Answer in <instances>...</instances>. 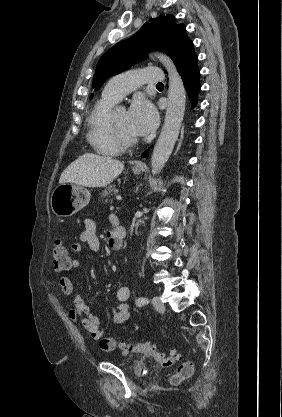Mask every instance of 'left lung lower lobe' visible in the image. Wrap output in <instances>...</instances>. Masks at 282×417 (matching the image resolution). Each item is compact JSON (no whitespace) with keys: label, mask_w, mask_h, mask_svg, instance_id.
Wrapping results in <instances>:
<instances>
[{"label":"left lung lower lobe","mask_w":282,"mask_h":417,"mask_svg":"<svg viewBox=\"0 0 282 417\" xmlns=\"http://www.w3.org/2000/svg\"><path fill=\"white\" fill-rule=\"evenodd\" d=\"M198 57L194 51L192 41L184 48L178 51L173 61L177 66L178 72L182 76L184 86L188 92L192 107L197 104V93L200 89L199 68L197 66ZM143 157L148 156V150L143 154Z\"/></svg>","instance_id":"0a47b994"}]
</instances>
